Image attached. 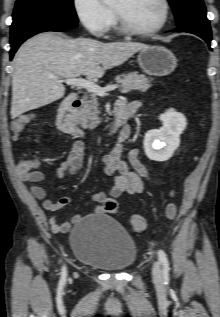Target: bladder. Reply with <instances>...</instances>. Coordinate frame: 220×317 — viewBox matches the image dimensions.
<instances>
[{"label": "bladder", "instance_id": "1", "mask_svg": "<svg viewBox=\"0 0 220 317\" xmlns=\"http://www.w3.org/2000/svg\"><path fill=\"white\" fill-rule=\"evenodd\" d=\"M69 244L78 262L120 272L137 258V246L128 231L104 214L81 218L72 228Z\"/></svg>", "mask_w": 220, "mask_h": 317}]
</instances>
